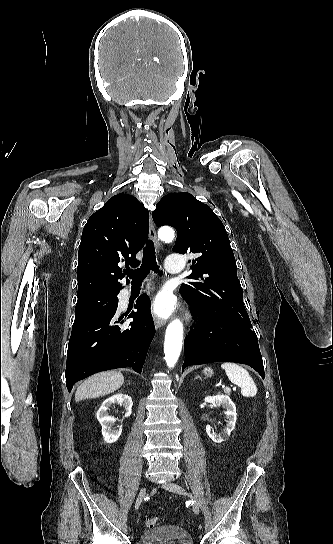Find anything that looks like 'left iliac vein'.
Wrapping results in <instances>:
<instances>
[{"label":"left iliac vein","instance_id":"1","mask_svg":"<svg viewBox=\"0 0 333 544\" xmlns=\"http://www.w3.org/2000/svg\"><path fill=\"white\" fill-rule=\"evenodd\" d=\"M162 487L170 492H174L181 495H188L187 492L178 484L172 482H166L162 484ZM190 496V495H189ZM191 497V496H190ZM192 509L195 514H199V505L197 502H193Z\"/></svg>","mask_w":333,"mask_h":544}]
</instances>
